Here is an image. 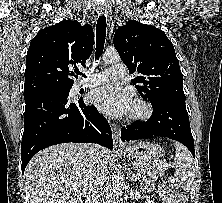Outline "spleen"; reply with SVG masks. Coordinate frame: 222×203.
I'll return each instance as SVG.
<instances>
[{
  "mask_svg": "<svg viewBox=\"0 0 222 203\" xmlns=\"http://www.w3.org/2000/svg\"><path fill=\"white\" fill-rule=\"evenodd\" d=\"M176 155L174 161L176 163V170L174 176L181 187L188 191L190 190L195 179V167L193 158L187 148L175 143Z\"/></svg>",
  "mask_w": 222,
  "mask_h": 203,
  "instance_id": "3e777b00",
  "label": "spleen"
}]
</instances>
